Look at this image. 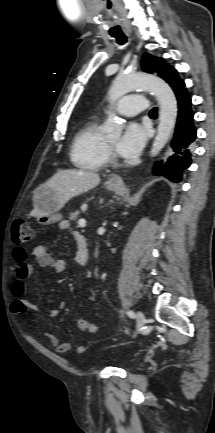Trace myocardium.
<instances>
[{
	"mask_svg": "<svg viewBox=\"0 0 215 433\" xmlns=\"http://www.w3.org/2000/svg\"><path fill=\"white\" fill-rule=\"evenodd\" d=\"M106 147H107L108 158L113 162H117V157L114 152V145L110 143L108 139H106Z\"/></svg>",
	"mask_w": 215,
	"mask_h": 433,
	"instance_id": "obj_1",
	"label": "myocardium"
}]
</instances>
